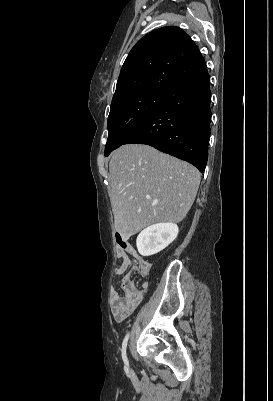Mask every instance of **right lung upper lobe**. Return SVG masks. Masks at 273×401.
Listing matches in <instances>:
<instances>
[{"label": "right lung upper lobe", "instance_id": "right-lung-upper-lobe-1", "mask_svg": "<svg viewBox=\"0 0 273 401\" xmlns=\"http://www.w3.org/2000/svg\"><path fill=\"white\" fill-rule=\"evenodd\" d=\"M206 69L192 39L176 26L141 38L127 56L112 101L143 91L167 93Z\"/></svg>", "mask_w": 273, "mask_h": 401}]
</instances>
